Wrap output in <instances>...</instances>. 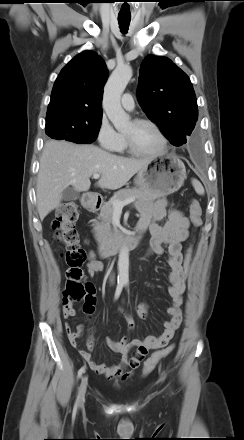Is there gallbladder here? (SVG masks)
Masks as SVG:
<instances>
[{
	"mask_svg": "<svg viewBox=\"0 0 244 440\" xmlns=\"http://www.w3.org/2000/svg\"><path fill=\"white\" fill-rule=\"evenodd\" d=\"M79 197H80L79 192H77L75 189H73L71 187H67L62 192V200L63 201L77 200V199H79Z\"/></svg>",
	"mask_w": 244,
	"mask_h": 440,
	"instance_id": "bac80fb5",
	"label": "gallbladder"
}]
</instances>
